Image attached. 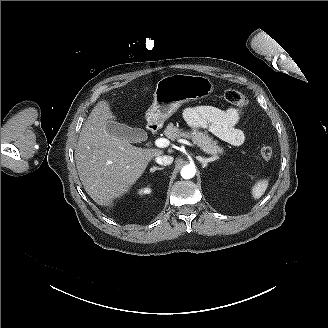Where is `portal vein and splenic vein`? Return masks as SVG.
Segmentation results:
<instances>
[{
	"label": "portal vein and splenic vein",
	"mask_w": 328,
	"mask_h": 328,
	"mask_svg": "<svg viewBox=\"0 0 328 328\" xmlns=\"http://www.w3.org/2000/svg\"><path fill=\"white\" fill-rule=\"evenodd\" d=\"M178 141L180 143H186L190 146H194V143L187 141V139H179ZM169 144H170V142L166 138H158V139L155 140V145L159 148H166V147L169 146Z\"/></svg>",
	"instance_id": "obj_1"
}]
</instances>
